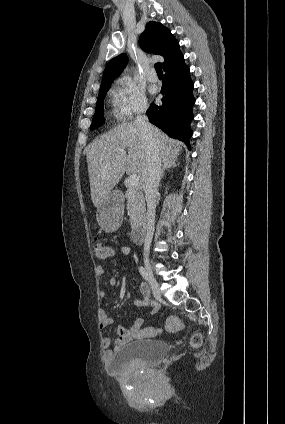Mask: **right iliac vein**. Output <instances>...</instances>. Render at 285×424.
Listing matches in <instances>:
<instances>
[{
    "label": "right iliac vein",
    "mask_w": 285,
    "mask_h": 424,
    "mask_svg": "<svg viewBox=\"0 0 285 424\" xmlns=\"http://www.w3.org/2000/svg\"><path fill=\"white\" fill-rule=\"evenodd\" d=\"M145 268H146V271H147V274H148V281H149V284L151 286V289H152L154 295L159 299L161 297L160 287H159V284L156 281L155 277L152 274L151 266H150V263H149L148 260H146V262H145Z\"/></svg>",
    "instance_id": "obj_1"
}]
</instances>
